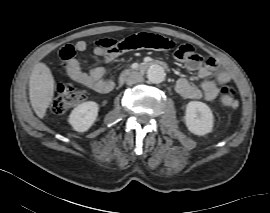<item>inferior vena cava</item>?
I'll use <instances>...</instances> for the list:
<instances>
[{"label":"inferior vena cava","instance_id":"602c4592","mask_svg":"<svg viewBox=\"0 0 270 213\" xmlns=\"http://www.w3.org/2000/svg\"><path fill=\"white\" fill-rule=\"evenodd\" d=\"M125 81H126L127 85H132V84L142 82L143 77L141 75L137 74V73H132V74L127 76Z\"/></svg>","mask_w":270,"mask_h":213}]
</instances>
